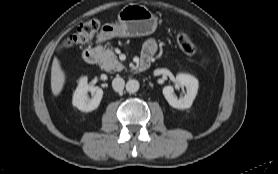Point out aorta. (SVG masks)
Segmentation results:
<instances>
[{
	"mask_svg": "<svg viewBox=\"0 0 278 174\" xmlns=\"http://www.w3.org/2000/svg\"><path fill=\"white\" fill-rule=\"evenodd\" d=\"M140 84L135 79H130L126 83V90L129 93H135L139 90Z\"/></svg>",
	"mask_w": 278,
	"mask_h": 174,
	"instance_id": "762f6f07",
	"label": "aorta"
}]
</instances>
